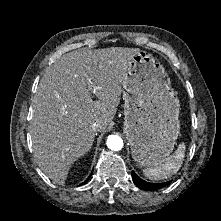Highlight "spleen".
Here are the masks:
<instances>
[{
  "label": "spleen",
  "mask_w": 221,
  "mask_h": 221,
  "mask_svg": "<svg viewBox=\"0 0 221 221\" xmlns=\"http://www.w3.org/2000/svg\"><path fill=\"white\" fill-rule=\"evenodd\" d=\"M185 150V144H179L175 153L169 156L163 164L144 169V175L150 180L158 181L162 179H167L173 174H176L183 163L185 157Z\"/></svg>",
  "instance_id": "obj_1"
}]
</instances>
